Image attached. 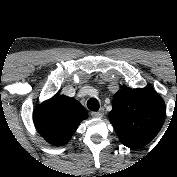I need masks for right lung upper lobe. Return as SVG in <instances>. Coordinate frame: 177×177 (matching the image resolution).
<instances>
[{
	"label": "right lung upper lobe",
	"instance_id": "right-lung-upper-lobe-1",
	"mask_svg": "<svg viewBox=\"0 0 177 177\" xmlns=\"http://www.w3.org/2000/svg\"><path fill=\"white\" fill-rule=\"evenodd\" d=\"M85 109L69 98L55 97L45 115L35 117L39 131L53 144L65 143L86 117Z\"/></svg>",
	"mask_w": 177,
	"mask_h": 177
}]
</instances>
